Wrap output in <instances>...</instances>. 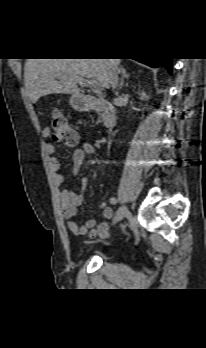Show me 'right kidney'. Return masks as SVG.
I'll return each mask as SVG.
<instances>
[{
    "label": "right kidney",
    "mask_w": 206,
    "mask_h": 348,
    "mask_svg": "<svg viewBox=\"0 0 206 348\" xmlns=\"http://www.w3.org/2000/svg\"><path fill=\"white\" fill-rule=\"evenodd\" d=\"M140 98L144 101H147L149 99V96L145 92H141Z\"/></svg>",
    "instance_id": "ca27d5eb"
}]
</instances>
